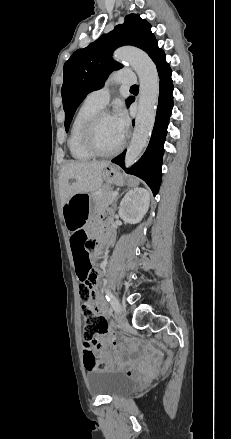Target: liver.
Masks as SVG:
<instances>
[{
	"label": "liver",
	"mask_w": 231,
	"mask_h": 439,
	"mask_svg": "<svg viewBox=\"0 0 231 439\" xmlns=\"http://www.w3.org/2000/svg\"><path fill=\"white\" fill-rule=\"evenodd\" d=\"M110 165L108 161L65 163L59 175V191L63 206L74 194L98 190L103 183V170ZM69 180H74L69 183Z\"/></svg>",
	"instance_id": "1"
}]
</instances>
